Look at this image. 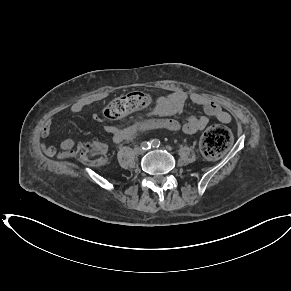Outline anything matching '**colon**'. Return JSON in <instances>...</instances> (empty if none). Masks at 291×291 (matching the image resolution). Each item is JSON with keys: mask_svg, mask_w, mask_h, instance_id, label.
Wrapping results in <instances>:
<instances>
[{"mask_svg": "<svg viewBox=\"0 0 291 291\" xmlns=\"http://www.w3.org/2000/svg\"><path fill=\"white\" fill-rule=\"evenodd\" d=\"M151 104V97L144 92H131L111 101L104 110L109 121H115L138 110L146 109ZM230 131L223 125H213L203 134L200 142L202 153L208 158L221 156L231 145ZM81 161L100 166L106 162L103 149L95 143L82 144L78 149Z\"/></svg>", "mask_w": 291, "mask_h": 291, "instance_id": "colon-1", "label": "colon"}]
</instances>
